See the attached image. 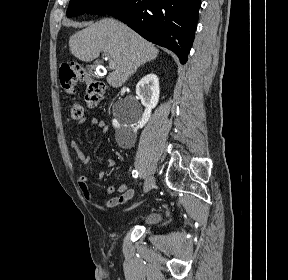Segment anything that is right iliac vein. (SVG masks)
I'll return each mask as SVG.
<instances>
[{"mask_svg": "<svg viewBox=\"0 0 288 280\" xmlns=\"http://www.w3.org/2000/svg\"><path fill=\"white\" fill-rule=\"evenodd\" d=\"M155 185V178L153 176H149L146 178L144 187H143V192L147 193L149 192Z\"/></svg>", "mask_w": 288, "mask_h": 280, "instance_id": "63e3f726", "label": "right iliac vein"}]
</instances>
